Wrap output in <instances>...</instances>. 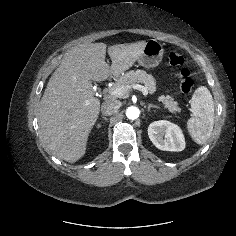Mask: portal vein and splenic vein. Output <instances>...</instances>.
I'll return each mask as SVG.
<instances>
[{
    "mask_svg": "<svg viewBox=\"0 0 236 236\" xmlns=\"http://www.w3.org/2000/svg\"><path fill=\"white\" fill-rule=\"evenodd\" d=\"M129 87L130 86L126 85V86H121L119 88H116V89L110 91V95L114 96L116 98H122L128 92ZM132 88L140 90L144 96H146L148 94L146 87H144L142 85L135 84L132 86Z\"/></svg>",
    "mask_w": 236,
    "mask_h": 236,
    "instance_id": "18ae733b",
    "label": "portal vein and splenic vein"
}]
</instances>
